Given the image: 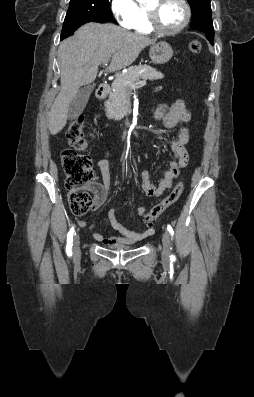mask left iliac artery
<instances>
[{
  "mask_svg": "<svg viewBox=\"0 0 254 397\" xmlns=\"http://www.w3.org/2000/svg\"><path fill=\"white\" fill-rule=\"evenodd\" d=\"M167 229H168L169 233L171 234V236L173 237L174 231H173V228L171 227V225H168V226H167ZM170 259H171L172 261H174V260H175V256H174V255H171Z\"/></svg>",
  "mask_w": 254,
  "mask_h": 397,
  "instance_id": "1",
  "label": "left iliac artery"
}]
</instances>
